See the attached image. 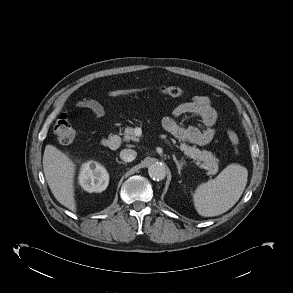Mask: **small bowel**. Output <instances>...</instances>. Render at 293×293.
I'll list each match as a JSON object with an SVG mask.
<instances>
[{
    "label": "small bowel",
    "mask_w": 293,
    "mask_h": 293,
    "mask_svg": "<svg viewBox=\"0 0 293 293\" xmlns=\"http://www.w3.org/2000/svg\"><path fill=\"white\" fill-rule=\"evenodd\" d=\"M78 108L90 110L96 119L105 116L103 105L95 99L83 98L76 102ZM185 115H193L201 119L202 128L195 125L182 126L178 122V118ZM218 119L216 110L211 101L206 96H195L187 102L179 104L172 113V116L165 117L162 125L166 131L171 133L180 141L195 144L206 145L210 143L217 133L215 127Z\"/></svg>",
    "instance_id": "small-bowel-1"
}]
</instances>
